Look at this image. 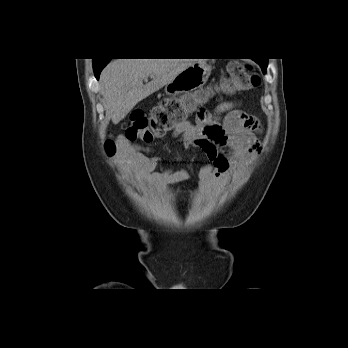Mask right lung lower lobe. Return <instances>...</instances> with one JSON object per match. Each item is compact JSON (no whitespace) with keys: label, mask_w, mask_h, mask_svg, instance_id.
Segmentation results:
<instances>
[{"label":"right lung lower lobe","mask_w":348,"mask_h":348,"mask_svg":"<svg viewBox=\"0 0 348 348\" xmlns=\"http://www.w3.org/2000/svg\"><path fill=\"white\" fill-rule=\"evenodd\" d=\"M105 65L103 64H94V72H95V75H96V78L98 79L99 78V74L101 72V70L103 69Z\"/></svg>","instance_id":"1"}]
</instances>
